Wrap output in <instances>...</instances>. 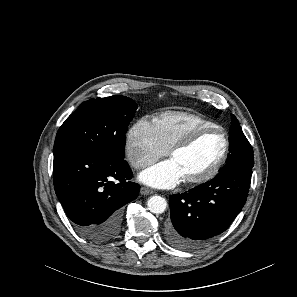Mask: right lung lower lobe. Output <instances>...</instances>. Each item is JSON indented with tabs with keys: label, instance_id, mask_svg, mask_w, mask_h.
Here are the masks:
<instances>
[{
	"label": "right lung lower lobe",
	"instance_id": "right-lung-lower-lobe-1",
	"mask_svg": "<svg viewBox=\"0 0 297 297\" xmlns=\"http://www.w3.org/2000/svg\"><path fill=\"white\" fill-rule=\"evenodd\" d=\"M131 178L124 159L88 149L54 151L56 195L76 230L91 241L105 242L119 233L122 207L139 194Z\"/></svg>",
	"mask_w": 297,
	"mask_h": 297
}]
</instances>
